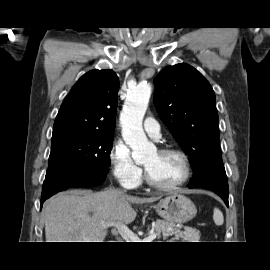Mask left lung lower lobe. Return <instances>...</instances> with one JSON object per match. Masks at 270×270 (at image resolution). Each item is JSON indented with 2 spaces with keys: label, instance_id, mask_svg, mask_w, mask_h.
I'll return each mask as SVG.
<instances>
[{
  "label": "left lung lower lobe",
  "instance_id": "0a47b994",
  "mask_svg": "<svg viewBox=\"0 0 270 270\" xmlns=\"http://www.w3.org/2000/svg\"><path fill=\"white\" fill-rule=\"evenodd\" d=\"M188 188H204L218 194L228 206V181L224 168H212L205 175L192 181Z\"/></svg>",
  "mask_w": 270,
  "mask_h": 270
}]
</instances>
